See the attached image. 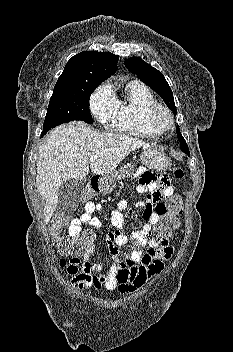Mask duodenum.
<instances>
[{"label":"duodenum","mask_w":233,"mask_h":352,"mask_svg":"<svg viewBox=\"0 0 233 352\" xmlns=\"http://www.w3.org/2000/svg\"><path fill=\"white\" fill-rule=\"evenodd\" d=\"M101 180L98 176H94L91 179V188L94 192H98L100 189Z\"/></svg>","instance_id":"1"}]
</instances>
